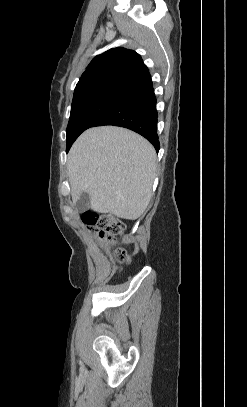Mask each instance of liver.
<instances>
[{
	"mask_svg": "<svg viewBox=\"0 0 247 407\" xmlns=\"http://www.w3.org/2000/svg\"><path fill=\"white\" fill-rule=\"evenodd\" d=\"M67 165L74 204L87 192L92 210L135 220L151 200L156 152L146 139L128 129L86 130L73 144Z\"/></svg>",
	"mask_w": 247,
	"mask_h": 407,
	"instance_id": "obj_1",
	"label": "liver"
}]
</instances>
